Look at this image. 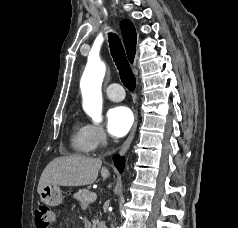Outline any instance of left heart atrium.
Listing matches in <instances>:
<instances>
[{"label":"left heart atrium","mask_w":238,"mask_h":228,"mask_svg":"<svg viewBox=\"0 0 238 228\" xmlns=\"http://www.w3.org/2000/svg\"><path fill=\"white\" fill-rule=\"evenodd\" d=\"M134 121L132 111L125 106H115L107 113V127L114 137L124 136L131 128Z\"/></svg>","instance_id":"left-heart-atrium-1"}]
</instances>
